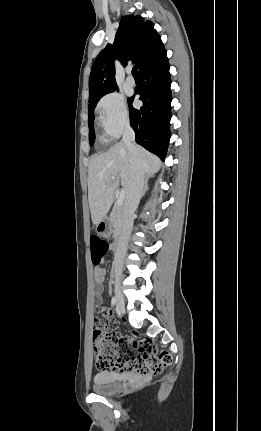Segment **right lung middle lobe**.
Segmentation results:
<instances>
[{
	"instance_id": "obj_1",
	"label": "right lung middle lobe",
	"mask_w": 261,
	"mask_h": 431,
	"mask_svg": "<svg viewBox=\"0 0 261 431\" xmlns=\"http://www.w3.org/2000/svg\"><path fill=\"white\" fill-rule=\"evenodd\" d=\"M117 89V87H113L105 92H102L92 98H89V105H88V115H89V120H88V126H89V143L90 145H92L94 143V128H93V124H94V116H93V112L95 109V106L97 104V102L99 101V99L104 96L107 93L113 92Z\"/></svg>"
}]
</instances>
